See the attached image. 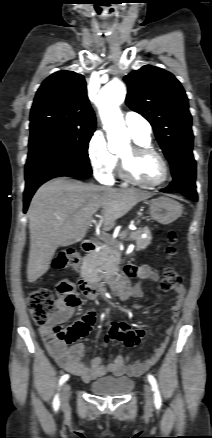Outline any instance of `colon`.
I'll use <instances>...</instances> for the list:
<instances>
[{
	"instance_id": "1",
	"label": "colon",
	"mask_w": 212,
	"mask_h": 438,
	"mask_svg": "<svg viewBox=\"0 0 212 438\" xmlns=\"http://www.w3.org/2000/svg\"><path fill=\"white\" fill-rule=\"evenodd\" d=\"M169 245L166 252L169 256L176 253L174 246L176 233L170 232L168 235ZM80 261L79 254L73 249L61 251L53 261V268H75ZM181 283L180 275L171 267H167L160 281L159 288L168 292L176 290ZM59 299L64 300L67 304H76L79 299L72 286H63L58 291ZM58 300L55 299L52 291L46 287H40L32 291L28 297V305L34 322L39 326L51 324L52 332L58 340L66 343H72L88 333V327L85 323L77 321L67 327H62L58 323H52V319L57 310Z\"/></svg>"
}]
</instances>
